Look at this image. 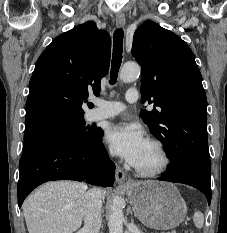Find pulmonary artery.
<instances>
[{
	"label": "pulmonary artery",
	"mask_w": 227,
	"mask_h": 233,
	"mask_svg": "<svg viewBox=\"0 0 227 233\" xmlns=\"http://www.w3.org/2000/svg\"><path fill=\"white\" fill-rule=\"evenodd\" d=\"M139 95L136 89L131 88L126 92L125 99L128 103H134L138 100ZM97 107L91 112L92 120H102L115 117L122 113L126 106L119 101H105L97 99L95 101Z\"/></svg>",
	"instance_id": "obj_1"
}]
</instances>
